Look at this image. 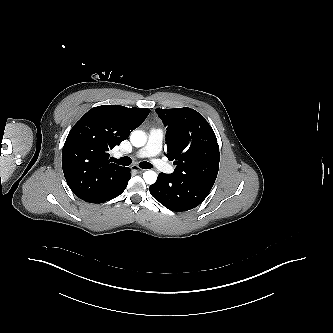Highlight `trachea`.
Returning a JSON list of instances; mask_svg holds the SVG:
<instances>
[{
    "mask_svg": "<svg viewBox=\"0 0 333 333\" xmlns=\"http://www.w3.org/2000/svg\"><path fill=\"white\" fill-rule=\"evenodd\" d=\"M112 161L119 165H123V166H129L132 162L131 158L128 156L121 157L120 159L113 158ZM139 166L142 169H150L153 167L151 163L146 162V161L140 162Z\"/></svg>",
    "mask_w": 333,
    "mask_h": 333,
    "instance_id": "1",
    "label": "trachea"
}]
</instances>
